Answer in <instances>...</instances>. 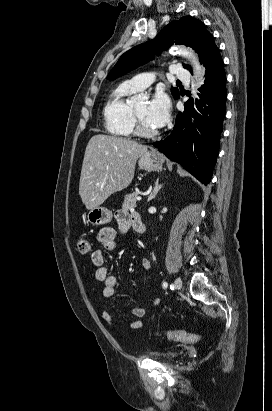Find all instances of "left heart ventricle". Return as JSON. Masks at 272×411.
Here are the masks:
<instances>
[{"label":"left heart ventricle","instance_id":"1","mask_svg":"<svg viewBox=\"0 0 272 411\" xmlns=\"http://www.w3.org/2000/svg\"><path fill=\"white\" fill-rule=\"evenodd\" d=\"M147 106H148L147 102L144 101V102H140L138 104H135L133 107H134V110H135L137 116L139 117L142 125L147 129H154V127L152 125H150L148 123L147 119H146Z\"/></svg>","mask_w":272,"mask_h":411}]
</instances>
